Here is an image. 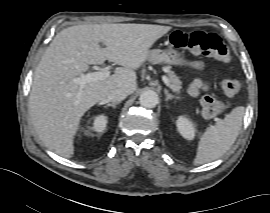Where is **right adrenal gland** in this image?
I'll list each match as a JSON object with an SVG mask.
<instances>
[{"label":"right adrenal gland","mask_w":270,"mask_h":213,"mask_svg":"<svg viewBox=\"0 0 270 213\" xmlns=\"http://www.w3.org/2000/svg\"><path fill=\"white\" fill-rule=\"evenodd\" d=\"M107 103V101H103L101 104H105ZM120 102H113V103H108L106 104L104 107H112V108H116V105H118Z\"/></svg>","instance_id":"obj_1"}]
</instances>
